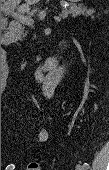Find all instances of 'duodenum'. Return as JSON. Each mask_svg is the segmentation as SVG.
Instances as JSON below:
<instances>
[{
	"label": "duodenum",
	"mask_w": 109,
	"mask_h": 170,
	"mask_svg": "<svg viewBox=\"0 0 109 170\" xmlns=\"http://www.w3.org/2000/svg\"><path fill=\"white\" fill-rule=\"evenodd\" d=\"M18 28H19V26L13 22L11 24L10 30L12 31V30H16ZM11 41H12L11 33H6L3 36V44L9 45L11 43ZM49 63H52V59H48L45 63L40 64L35 71V75L39 78L40 85L44 88H48L53 85V81L45 76L46 68Z\"/></svg>",
	"instance_id": "duodenum-1"
}]
</instances>
